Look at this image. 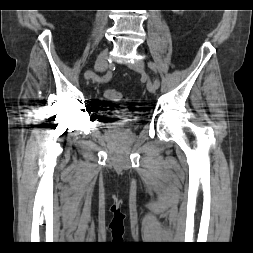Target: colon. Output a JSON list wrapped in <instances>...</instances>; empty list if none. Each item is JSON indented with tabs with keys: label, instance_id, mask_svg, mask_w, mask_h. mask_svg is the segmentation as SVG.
I'll use <instances>...</instances> for the list:
<instances>
[{
	"label": "colon",
	"instance_id": "1",
	"mask_svg": "<svg viewBox=\"0 0 253 253\" xmlns=\"http://www.w3.org/2000/svg\"><path fill=\"white\" fill-rule=\"evenodd\" d=\"M104 96L109 99V100H114V101H121L123 100V95L114 89H106L104 92Z\"/></svg>",
	"mask_w": 253,
	"mask_h": 253
}]
</instances>
